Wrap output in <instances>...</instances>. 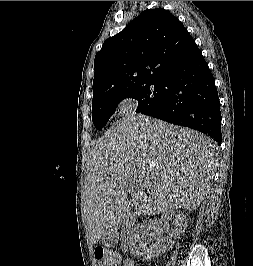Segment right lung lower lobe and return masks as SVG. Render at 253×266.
<instances>
[{
	"label": "right lung lower lobe",
	"instance_id": "98d812e1",
	"mask_svg": "<svg viewBox=\"0 0 253 266\" xmlns=\"http://www.w3.org/2000/svg\"><path fill=\"white\" fill-rule=\"evenodd\" d=\"M163 96L149 116L189 127L221 144V112L214 77L199 50L163 79Z\"/></svg>",
	"mask_w": 253,
	"mask_h": 266
}]
</instances>
